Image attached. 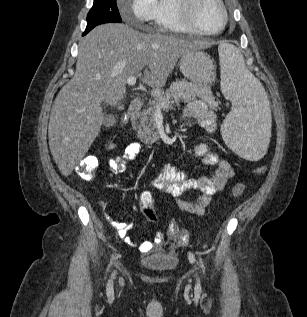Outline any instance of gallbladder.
<instances>
[{
    "label": "gallbladder",
    "mask_w": 307,
    "mask_h": 317,
    "mask_svg": "<svg viewBox=\"0 0 307 317\" xmlns=\"http://www.w3.org/2000/svg\"><path fill=\"white\" fill-rule=\"evenodd\" d=\"M114 117L112 114L110 113H104V121H103V124L106 126V127H111L113 124H114Z\"/></svg>",
    "instance_id": "obj_1"
}]
</instances>
